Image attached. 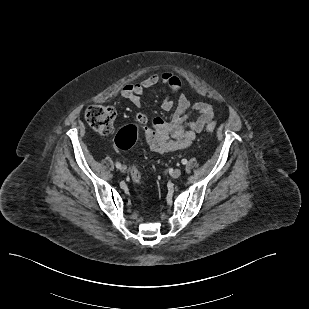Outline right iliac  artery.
I'll list each match as a JSON object with an SVG mask.
<instances>
[{
    "label": "right iliac artery",
    "mask_w": 309,
    "mask_h": 309,
    "mask_svg": "<svg viewBox=\"0 0 309 309\" xmlns=\"http://www.w3.org/2000/svg\"><path fill=\"white\" fill-rule=\"evenodd\" d=\"M116 167L118 168V169H120L121 168V164L119 163V162H116Z\"/></svg>",
    "instance_id": "obj_1"
}]
</instances>
